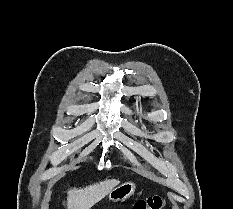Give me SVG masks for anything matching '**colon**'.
Wrapping results in <instances>:
<instances>
[{
    "label": "colon",
    "instance_id": "obj_1",
    "mask_svg": "<svg viewBox=\"0 0 233 209\" xmlns=\"http://www.w3.org/2000/svg\"><path fill=\"white\" fill-rule=\"evenodd\" d=\"M162 199L158 195L149 196L136 201L132 209H161Z\"/></svg>",
    "mask_w": 233,
    "mask_h": 209
}]
</instances>
